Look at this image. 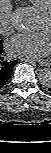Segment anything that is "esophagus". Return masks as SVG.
Masks as SVG:
<instances>
[{"label":"esophagus","mask_w":51,"mask_h":153,"mask_svg":"<svg viewBox=\"0 0 51 153\" xmlns=\"http://www.w3.org/2000/svg\"><path fill=\"white\" fill-rule=\"evenodd\" d=\"M37 64L40 66L47 67V66H50L51 63L49 60H39V61H37Z\"/></svg>","instance_id":"esophagus-1"}]
</instances>
